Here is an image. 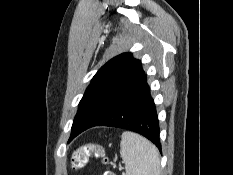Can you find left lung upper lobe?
<instances>
[{
	"label": "left lung upper lobe",
	"mask_w": 233,
	"mask_h": 175,
	"mask_svg": "<svg viewBox=\"0 0 233 175\" xmlns=\"http://www.w3.org/2000/svg\"><path fill=\"white\" fill-rule=\"evenodd\" d=\"M143 74L141 62L131 53L120 54L103 65L79 103L69 141L103 116Z\"/></svg>",
	"instance_id": "left-lung-upper-lobe-1"
}]
</instances>
